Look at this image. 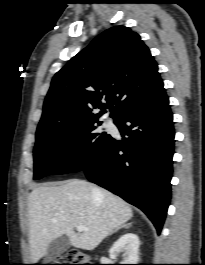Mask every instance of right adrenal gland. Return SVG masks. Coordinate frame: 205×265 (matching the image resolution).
<instances>
[{"instance_id": "right-adrenal-gland-1", "label": "right adrenal gland", "mask_w": 205, "mask_h": 265, "mask_svg": "<svg viewBox=\"0 0 205 265\" xmlns=\"http://www.w3.org/2000/svg\"><path fill=\"white\" fill-rule=\"evenodd\" d=\"M131 225H132V223L123 224V225L119 226L118 228H116L115 230H113V231L111 232V234L114 233V232H117L118 230H120V229H122V228H129Z\"/></svg>"}]
</instances>
